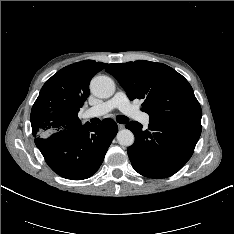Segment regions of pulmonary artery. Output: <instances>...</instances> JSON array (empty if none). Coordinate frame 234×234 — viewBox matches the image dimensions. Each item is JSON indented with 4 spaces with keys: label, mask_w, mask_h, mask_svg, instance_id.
Returning a JSON list of instances; mask_svg holds the SVG:
<instances>
[{
    "label": "pulmonary artery",
    "mask_w": 234,
    "mask_h": 234,
    "mask_svg": "<svg viewBox=\"0 0 234 234\" xmlns=\"http://www.w3.org/2000/svg\"><path fill=\"white\" fill-rule=\"evenodd\" d=\"M113 109H119L127 116L140 121L143 125L149 124V115L141 112L138 108L132 105L126 93L123 91H118L111 99L103 102L102 104L89 108L85 114L87 117L101 116L112 111Z\"/></svg>",
    "instance_id": "e3ab8cb5"
}]
</instances>
